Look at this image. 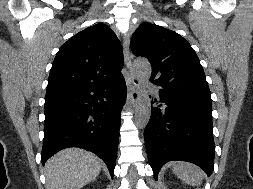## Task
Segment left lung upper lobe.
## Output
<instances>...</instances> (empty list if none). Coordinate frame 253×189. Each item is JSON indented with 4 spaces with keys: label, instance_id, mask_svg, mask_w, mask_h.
Masks as SVG:
<instances>
[{
    "label": "left lung upper lobe",
    "instance_id": "left-lung-upper-lobe-1",
    "mask_svg": "<svg viewBox=\"0 0 253 189\" xmlns=\"http://www.w3.org/2000/svg\"><path fill=\"white\" fill-rule=\"evenodd\" d=\"M134 55L146 57L151 80L163 91L212 104L199 58L188 41L172 30L142 23L131 40Z\"/></svg>",
    "mask_w": 253,
    "mask_h": 189
}]
</instances>
